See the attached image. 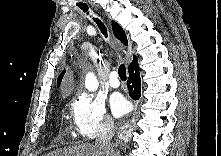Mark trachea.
Masks as SVG:
<instances>
[{
  "label": "trachea",
  "instance_id": "1",
  "mask_svg": "<svg viewBox=\"0 0 221 156\" xmlns=\"http://www.w3.org/2000/svg\"><path fill=\"white\" fill-rule=\"evenodd\" d=\"M77 6L80 7L84 12L88 11V7L84 3H78ZM94 20L98 24L99 29L101 30L103 35H105V37H107V30H106V27L104 26V24L100 20H98V19H94ZM118 74H119V77L121 78V80H126V67H125L124 64H121L119 66Z\"/></svg>",
  "mask_w": 221,
  "mask_h": 156
}]
</instances>
